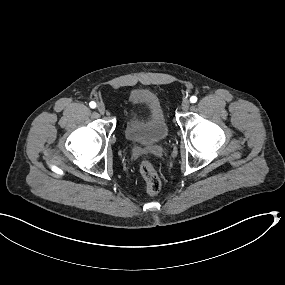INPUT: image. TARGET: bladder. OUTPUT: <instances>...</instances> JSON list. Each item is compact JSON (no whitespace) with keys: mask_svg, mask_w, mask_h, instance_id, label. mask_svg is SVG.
Here are the masks:
<instances>
[{"mask_svg":"<svg viewBox=\"0 0 285 285\" xmlns=\"http://www.w3.org/2000/svg\"><path fill=\"white\" fill-rule=\"evenodd\" d=\"M127 130L123 136L130 143L153 147L166 141L170 134L162 119V105L152 93H133L126 100Z\"/></svg>","mask_w":285,"mask_h":285,"instance_id":"obj_1","label":"bladder"}]
</instances>
